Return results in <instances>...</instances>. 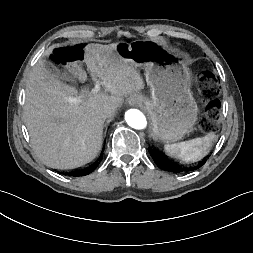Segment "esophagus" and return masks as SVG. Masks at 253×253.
<instances>
[{
  "label": "esophagus",
  "instance_id": "obj_1",
  "mask_svg": "<svg viewBox=\"0 0 253 253\" xmlns=\"http://www.w3.org/2000/svg\"><path fill=\"white\" fill-rule=\"evenodd\" d=\"M128 103H129V105H131V106H135L136 104H138V103H139V98H138V96H136V95L130 96V98H129V100H128Z\"/></svg>",
  "mask_w": 253,
  "mask_h": 253
}]
</instances>
